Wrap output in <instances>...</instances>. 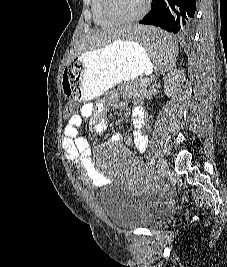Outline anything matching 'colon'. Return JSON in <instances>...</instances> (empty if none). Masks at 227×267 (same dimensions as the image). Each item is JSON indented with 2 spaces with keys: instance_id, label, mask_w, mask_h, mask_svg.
Listing matches in <instances>:
<instances>
[{
  "instance_id": "1",
  "label": "colon",
  "mask_w": 227,
  "mask_h": 267,
  "mask_svg": "<svg viewBox=\"0 0 227 267\" xmlns=\"http://www.w3.org/2000/svg\"><path fill=\"white\" fill-rule=\"evenodd\" d=\"M76 110H79V105H67V109L65 111L66 118H69V116H77Z\"/></svg>"
}]
</instances>
